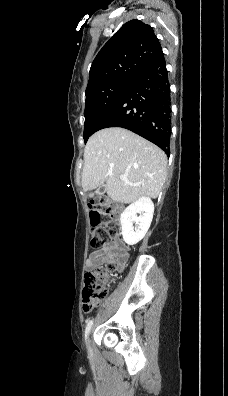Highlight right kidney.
Wrapping results in <instances>:
<instances>
[{"instance_id": "right-kidney-1", "label": "right kidney", "mask_w": 228, "mask_h": 396, "mask_svg": "<svg viewBox=\"0 0 228 396\" xmlns=\"http://www.w3.org/2000/svg\"><path fill=\"white\" fill-rule=\"evenodd\" d=\"M153 213L154 204L149 197L145 196L130 204L123 211L120 223L125 243L135 245L145 236L153 219Z\"/></svg>"}]
</instances>
